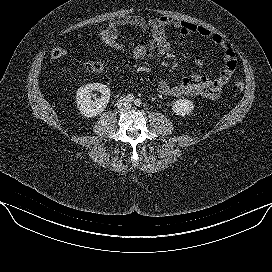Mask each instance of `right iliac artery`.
Returning a JSON list of instances; mask_svg holds the SVG:
<instances>
[{
	"instance_id": "obj_1",
	"label": "right iliac artery",
	"mask_w": 272,
	"mask_h": 272,
	"mask_svg": "<svg viewBox=\"0 0 272 272\" xmlns=\"http://www.w3.org/2000/svg\"><path fill=\"white\" fill-rule=\"evenodd\" d=\"M126 98L128 101H134V99H135L133 94H128Z\"/></svg>"
}]
</instances>
